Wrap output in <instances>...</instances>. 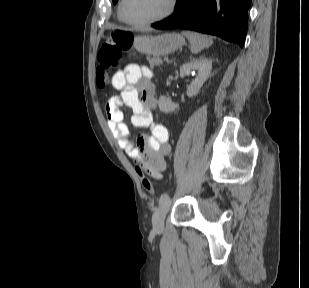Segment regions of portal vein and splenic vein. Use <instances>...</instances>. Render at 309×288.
<instances>
[{"label":"portal vein and splenic vein","instance_id":"portal-vein-and-splenic-vein-1","mask_svg":"<svg viewBox=\"0 0 309 288\" xmlns=\"http://www.w3.org/2000/svg\"><path fill=\"white\" fill-rule=\"evenodd\" d=\"M164 61H166V62L168 61V57L167 56L164 57Z\"/></svg>","mask_w":309,"mask_h":288}]
</instances>
